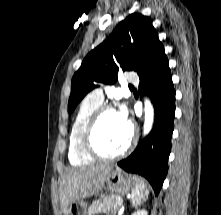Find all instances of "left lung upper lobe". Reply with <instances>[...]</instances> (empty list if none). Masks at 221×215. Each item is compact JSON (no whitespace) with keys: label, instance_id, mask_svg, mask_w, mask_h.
I'll return each instance as SVG.
<instances>
[{"label":"left lung upper lobe","instance_id":"left-lung-upper-lobe-1","mask_svg":"<svg viewBox=\"0 0 221 215\" xmlns=\"http://www.w3.org/2000/svg\"><path fill=\"white\" fill-rule=\"evenodd\" d=\"M162 48L151 19L139 13L130 14L84 58L72 78L68 112L72 113L92 89L114 84L120 70H134L142 75Z\"/></svg>","mask_w":221,"mask_h":215}]
</instances>
